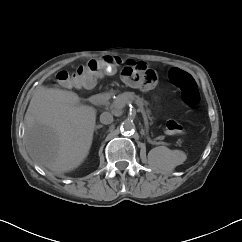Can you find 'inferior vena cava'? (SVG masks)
<instances>
[{"mask_svg":"<svg viewBox=\"0 0 242 242\" xmlns=\"http://www.w3.org/2000/svg\"><path fill=\"white\" fill-rule=\"evenodd\" d=\"M100 122L102 124H111L113 122V115L110 112H103L100 115Z\"/></svg>","mask_w":242,"mask_h":242,"instance_id":"602c4592","label":"inferior vena cava"}]
</instances>
